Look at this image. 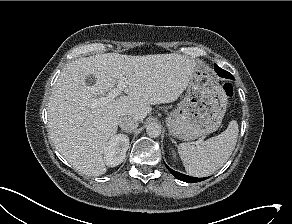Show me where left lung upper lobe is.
Returning <instances> with one entry per match:
<instances>
[{
  "label": "left lung upper lobe",
  "instance_id": "1",
  "mask_svg": "<svg viewBox=\"0 0 292 224\" xmlns=\"http://www.w3.org/2000/svg\"><path fill=\"white\" fill-rule=\"evenodd\" d=\"M226 76H228L229 75V73L227 72V71H225L224 70V72H223Z\"/></svg>",
  "mask_w": 292,
  "mask_h": 224
}]
</instances>
